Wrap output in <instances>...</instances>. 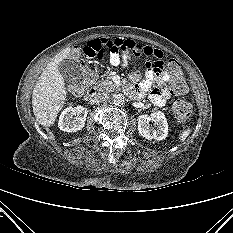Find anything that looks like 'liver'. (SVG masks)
<instances>
[{"mask_svg":"<svg viewBox=\"0 0 233 233\" xmlns=\"http://www.w3.org/2000/svg\"><path fill=\"white\" fill-rule=\"evenodd\" d=\"M72 49L59 52L43 70L32 92V107L36 120L44 127L54 124L58 113L65 104L67 90L58 64L67 59Z\"/></svg>","mask_w":233,"mask_h":233,"instance_id":"6515ba94","label":"liver"}]
</instances>
